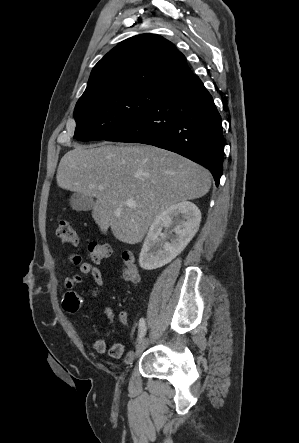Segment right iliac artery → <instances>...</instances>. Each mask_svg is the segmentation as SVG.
<instances>
[{
  "label": "right iliac artery",
  "instance_id": "right-iliac-artery-1",
  "mask_svg": "<svg viewBox=\"0 0 299 443\" xmlns=\"http://www.w3.org/2000/svg\"><path fill=\"white\" fill-rule=\"evenodd\" d=\"M146 333V324L144 318L139 321L138 341H141Z\"/></svg>",
  "mask_w": 299,
  "mask_h": 443
}]
</instances>
